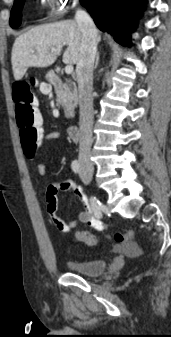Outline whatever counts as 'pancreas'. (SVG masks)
Wrapping results in <instances>:
<instances>
[{"label":"pancreas","instance_id":"obj_1","mask_svg":"<svg viewBox=\"0 0 171 337\" xmlns=\"http://www.w3.org/2000/svg\"><path fill=\"white\" fill-rule=\"evenodd\" d=\"M57 103L64 108L67 118L74 116V109L77 106V90L70 83H64L61 88L56 90Z\"/></svg>","mask_w":171,"mask_h":337}]
</instances>
